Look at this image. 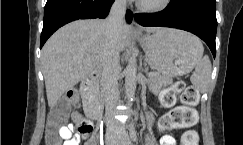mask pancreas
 <instances>
[{"label": "pancreas", "mask_w": 243, "mask_h": 145, "mask_svg": "<svg viewBox=\"0 0 243 145\" xmlns=\"http://www.w3.org/2000/svg\"><path fill=\"white\" fill-rule=\"evenodd\" d=\"M149 82L150 87L158 89L163 85L170 83L171 80L163 77L160 73H155L154 76L149 77Z\"/></svg>", "instance_id": "pancreas-1"}]
</instances>
